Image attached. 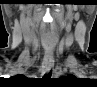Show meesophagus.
<instances>
[{
    "label": "esophagus",
    "mask_w": 97,
    "mask_h": 87,
    "mask_svg": "<svg viewBox=\"0 0 97 87\" xmlns=\"http://www.w3.org/2000/svg\"><path fill=\"white\" fill-rule=\"evenodd\" d=\"M54 67V57L52 53H47L43 62V73H49Z\"/></svg>",
    "instance_id": "1"
}]
</instances>
